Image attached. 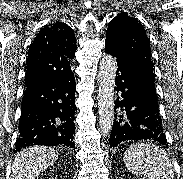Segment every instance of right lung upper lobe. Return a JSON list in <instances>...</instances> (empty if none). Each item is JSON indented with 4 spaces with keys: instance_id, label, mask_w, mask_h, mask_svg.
<instances>
[{
    "instance_id": "cb5924a9",
    "label": "right lung upper lobe",
    "mask_w": 183,
    "mask_h": 179,
    "mask_svg": "<svg viewBox=\"0 0 183 179\" xmlns=\"http://www.w3.org/2000/svg\"><path fill=\"white\" fill-rule=\"evenodd\" d=\"M76 48L74 31L68 25L59 22L45 26L29 48L25 85L38 79L74 78L70 62Z\"/></svg>"
}]
</instances>
